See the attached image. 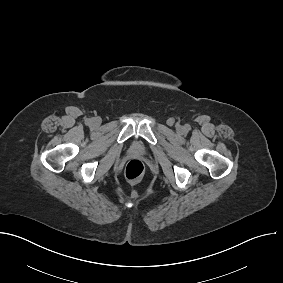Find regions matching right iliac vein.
I'll list each match as a JSON object with an SVG mask.
<instances>
[{
  "mask_svg": "<svg viewBox=\"0 0 283 283\" xmlns=\"http://www.w3.org/2000/svg\"><path fill=\"white\" fill-rule=\"evenodd\" d=\"M94 123H95V124H98V123H99V120H98V119H95V120H94Z\"/></svg>",
  "mask_w": 283,
  "mask_h": 283,
  "instance_id": "63e3f726",
  "label": "right iliac vein"
}]
</instances>
